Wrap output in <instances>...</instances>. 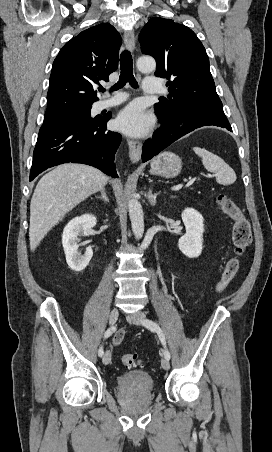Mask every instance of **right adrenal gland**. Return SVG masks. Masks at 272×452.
Returning <instances> with one entry per match:
<instances>
[{
  "label": "right adrenal gland",
  "instance_id": "2a0ac1e0",
  "mask_svg": "<svg viewBox=\"0 0 272 452\" xmlns=\"http://www.w3.org/2000/svg\"><path fill=\"white\" fill-rule=\"evenodd\" d=\"M100 196H96V198L102 199L105 203H109V198L106 194V190L103 188L100 190Z\"/></svg>",
  "mask_w": 272,
  "mask_h": 452
}]
</instances>
